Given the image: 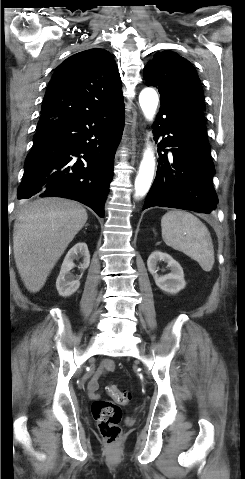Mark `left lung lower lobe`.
<instances>
[{
    "label": "left lung lower lobe",
    "mask_w": 245,
    "mask_h": 479,
    "mask_svg": "<svg viewBox=\"0 0 245 479\" xmlns=\"http://www.w3.org/2000/svg\"><path fill=\"white\" fill-rule=\"evenodd\" d=\"M154 133L156 142L160 139L159 163L143 209L160 206L209 214L218 198L203 108L196 103H161ZM160 151H170L171 160Z\"/></svg>",
    "instance_id": "obj_1"
}]
</instances>
